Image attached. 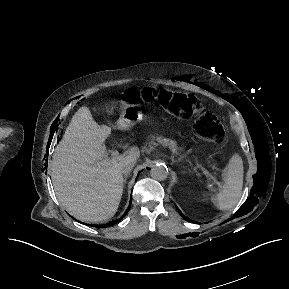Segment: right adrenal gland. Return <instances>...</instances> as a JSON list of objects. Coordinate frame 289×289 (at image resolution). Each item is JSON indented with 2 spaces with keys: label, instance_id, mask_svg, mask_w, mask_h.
<instances>
[{
  "label": "right adrenal gland",
  "instance_id": "obj_1",
  "mask_svg": "<svg viewBox=\"0 0 289 289\" xmlns=\"http://www.w3.org/2000/svg\"><path fill=\"white\" fill-rule=\"evenodd\" d=\"M127 177H128V174H126L125 177H124V185L126 184Z\"/></svg>",
  "mask_w": 289,
  "mask_h": 289
}]
</instances>
